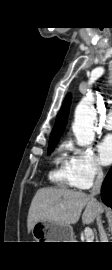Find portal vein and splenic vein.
<instances>
[{
  "label": "portal vein and splenic vein",
  "mask_w": 112,
  "mask_h": 270,
  "mask_svg": "<svg viewBox=\"0 0 112 270\" xmlns=\"http://www.w3.org/2000/svg\"><path fill=\"white\" fill-rule=\"evenodd\" d=\"M86 242H93L94 239V233L90 227H86L84 229Z\"/></svg>",
  "instance_id": "18ae733b"
}]
</instances>
